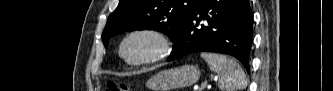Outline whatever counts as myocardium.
Listing matches in <instances>:
<instances>
[{
  "label": "myocardium",
  "mask_w": 333,
  "mask_h": 91,
  "mask_svg": "<svg viewBox=\"0 0 333 91\" xmlns=\"http://www.w3.org/2000/svg\"><path fill=\"white\" fill-rule=\"evenodd\" d=\"M135 37H143L153 44V52L137 60L127 58L124 53L125 45ZM173 49L171 37L163 30L152 27H140L129 31L121 40L118 53L121 59L130 66H144L159 62L170 55Z\"/></svg>",
  "instance_id": "f54148a6"
}]
</instances>
